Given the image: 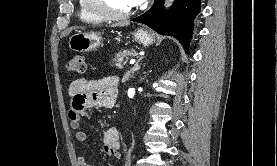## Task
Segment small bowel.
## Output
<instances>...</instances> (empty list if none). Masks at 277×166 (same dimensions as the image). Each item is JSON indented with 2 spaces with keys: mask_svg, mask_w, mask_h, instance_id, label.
<instances>
[{
  "mask_svg": "<svg viewBox=\"0 0 277 166\" xmlns=\"http://www.w3.org/2000/svg\"><path fill=\"white\" fill-rule=\"evenodd\" d=\"M118 80L115 76H107L95 80L79 78L69 86L70 110L68 117L70 126L76 131L75 138L84 143L87 134L81 129L82 121L90 118L92 109L110 108L117 98ZM103 152L114 159H120V135L115 127H108L103 134ZM77 162L79 166H93L81 153Z\"/></svg>",
  "mask_w": 277,
  "mask_h": 166,
  "instance_id": "small-bowel-1",
  "label": "small bowel"
}]
</instances>
